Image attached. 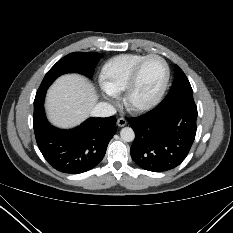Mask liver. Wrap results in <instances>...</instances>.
I'll return each mask as SVG.
<instances>
[{
  "label": "liver",
  "instance_id": "liver-1",
  "mask_svg": "<svg viewBox=\"0 0 233 233\" xmlns=\"http://www.w3.org/2000/svg\"><path fill=\"white\" fill-rule=\"evenodd\" d=\"M97 99L95 88L85 77L63 75L47 92L45 108L48 119L58 128H73L89 116Z\"/></svg>",
  "mask_w": 233,
  "mask_h": 233
}]
</instances>
